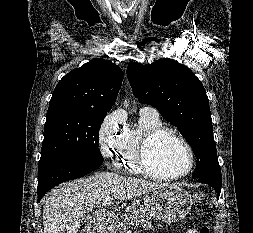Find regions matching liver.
<instances>
[{"label":"liver","instance_id":"liver-1","mask_svg":"<svg viewBox=\"0 0 253 233\" xmlns=\"http://www.w3.org/2000/svg\"><path fill=\"white\" fill-rule=\"evenodd\" d=\"M166 186L156 182L128 178L113 172H101L80 178L53 190L44 202V233H78L80 223L107 196L128 200Z\"/></svg>","mask_w":253,"mask_h":233}]
</instances>
